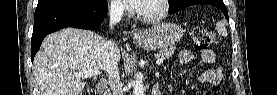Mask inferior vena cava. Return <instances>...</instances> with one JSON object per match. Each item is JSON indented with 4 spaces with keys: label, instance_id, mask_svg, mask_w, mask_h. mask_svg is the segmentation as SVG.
<instances>
[{
    "label": "inferior vena cava",
    "instance_id": "1",
    "mask_svg": "<svg viewBox=\"0 0 277 95\" xmlns=\"http://www.w3.org/2000/svg\"><path fill=\"white\" fill-rule=\"evenodd\" d=\"M123 6L119 4H111L109 15H110V28L120 22L123 16ZM106 68L105 71L108 77V86L112 92V95H122L120 90V76L118 69V46L113 40L106 42Z\"/></svg>",
    "mask_w": 277,
    "mask_h": 95
}]
</instances>
